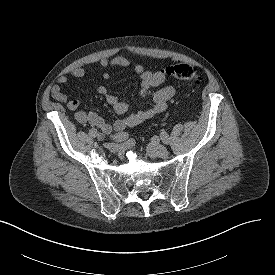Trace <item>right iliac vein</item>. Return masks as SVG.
Returning <instances> with one entry per match:
<instances>
[{"label":"right iliac vein","instance_id":"1","mask_svg":"<svg viewBox=\"0 0 275 275\" xmlns=\"http://www.w3.org/2000/svg\"><path fill=\"white\" fill-rule=\"evenodd\" d=\"M105 147L108 148L111 152H116L119 148V146L115 143H105Z\"/></svg>","mask_w":275,"mask_h":275}]
</instances>
